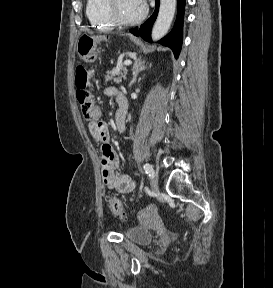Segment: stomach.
<instances>
[{
	"mask_svg": "<svg viewBox=\"0 0 273 288\" xmlns=\"http://www.w3.org/2000/svg\"><path fill=\"white\" fill-rule=\"evenodd\" d=\"M98 37L83 34L78 39L76 51L80 59L84 61H89L92 56L95 54L97 47Z\"/></svg>",
	"mask_w": 273,
	"mask_h": 288,
	"instance_id": "1",
	"label": "stomach"
}]
</instances>
